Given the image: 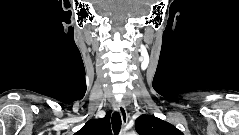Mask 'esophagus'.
Here are the masks:
<instances>
[{
	"mask_svg": "<svg viewBox=\"0 0 239 135\" xmlns=\"http://www.w3.org/2000/svg\"><path fill=\"white\" fill-rule=\"evenodd\" d=\"M114 109L117 110L121 115L122 123L125 125L128 121V115L124 104L119 103L114 105Z\"/></svg>",
	"mask_w": 239,
	"mask_h": 135,
	"instance_id": "1",
	"label": "esophagus"
}]
</instances>
